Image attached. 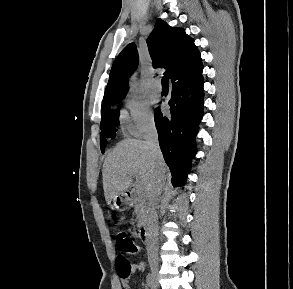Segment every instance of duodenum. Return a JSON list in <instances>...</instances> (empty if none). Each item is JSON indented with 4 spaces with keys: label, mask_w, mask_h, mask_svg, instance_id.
<instances>
[{
    "label": "duodenum",
    "mask_w": 293,
    "mask_h": 289,
    "mask_svg": "<svg viewBox=\"0 0 293 289\" xmlns=\"http://www.w3.org/2000/svg\"><path fill=\"white\" fill-rule=\"evenodd\" d=\"M132 197L131 193H128L126 196L127 200H130ZM140 236L144 244H149L153 239V223L151 221H147L140 228Z\"/></svg>",
    "instance_id": "410a0bca"
}]
</instances>
